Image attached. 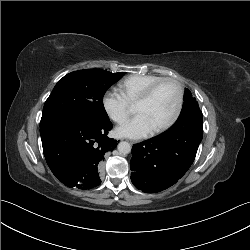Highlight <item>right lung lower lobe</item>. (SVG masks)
<instances>
[{
  "instance_id": "right-lung-lower-lobe-1",
  "label": "right lung lower lobe",
  "mask_w": 250,
  "mask_h": 250,
  "mask_svg": "<svg viewBox=\"0 0 250 250\" xmlns=\"http://www.w3.org/2000/svg\"><path fill=\"white\" fill-rule=\"evenodd\" d=\"M110 121L90 123L59 120L40 127L45 159L66 186L82 190L100 185L101 165L117 141L106 135Z\"/></svg>"
}]
</instances>
